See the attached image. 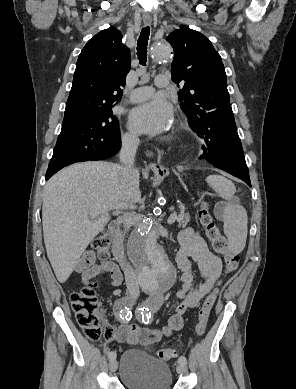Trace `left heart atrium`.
Here are the masks:
<instances>
[{"label":"left heart atrium","instance_id":"1","mask_svg":"<svg viewBox=\"0 0 296 389\" xmlns=\"http://www.w3.org/2000/svg\"><path fill=\"white\" fill-rule=\"evenodd\" d=\"M172 118L171 104L163 97H155L130 111L129 126L135 133L156 135L170 127Z\"/></svg>","mask_w":296,"mask_h":389}]
</instances>
